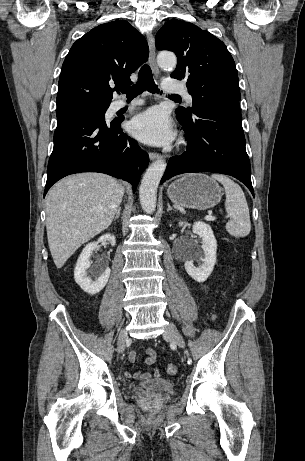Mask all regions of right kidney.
Instances as JSON below:
<instances>
[{"label":"right kidney","instance_id":"1","mask_svg":"<svg viewBox=\"0 0 305 461\" xmlns=\"http://www.w3.org/2000/svg\"><path fill=\"white\" fill-rule=\"evenodd\" d=\"M106 240L109 241L112 246H114L116 243L114 235L105 234L99 238L98 242H91L87 244L80 254L74 269L75 282L81 287L83 291L90 295L99 293L105 287L110 277L111 270L109 267L100 268L97 271L98 277L94 281L91 279V277L87 276L86 273V270L91 265L89 259L92 252L97 249L99 242Z\"/></svg>","mask_w":305,"mask_h":461}]
</instances>
